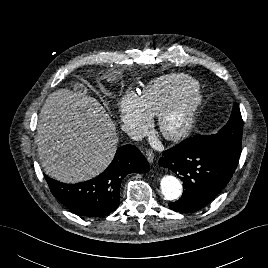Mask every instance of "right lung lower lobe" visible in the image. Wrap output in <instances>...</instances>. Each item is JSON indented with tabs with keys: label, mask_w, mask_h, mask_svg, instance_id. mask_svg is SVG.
I'll return each instance as SVG.
<instances>
[{
	"label": "right lung lower lobe",
	"mask_w": 268,
	"mask_h": 268,
	"mask_svg": "<svg viewBox=\"0 0 268 268\" xmlns=\"http://www.w3.org/2000/svg\"><path fill=\"white\" fill-rule=\"evenodd\" d=\"M149 164L133 145L120 147L108 168L97 177L77 183L65 184L45 179L51 193L72 212L89 217L105 216L120 204V184L129 173H146Z\"/></svg>",
	"instance_id": "obj_1"
}]
</instances>
